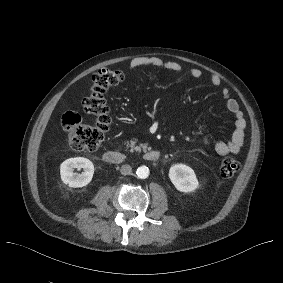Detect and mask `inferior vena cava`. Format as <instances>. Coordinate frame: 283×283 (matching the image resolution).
I'll return each instance as SVG.
<instances>
[{"mask_svg": "<svg viewBox=\"0 0 283 283\" xmlns=\"http://www.w3.org/2000/svg\"><path fill=\"white\" fill-rule=\"evenodd\" d=\"M120 172H121L122 175H129L132 172V168H131L130 165H127V164L126 165H122L121 169H120Z\"/></svg>", "mask_w": 283, "mask_h": 283, "instance_id": "obj_1", "label": "inferior vena cava"}]
</instances>
